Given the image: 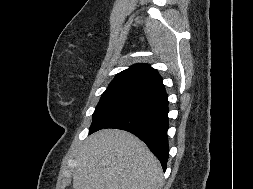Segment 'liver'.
I'll return each mask as SVG.
<instances>
[{
	"label": "liver",
	"mask_w": 253,
	"mask_h": 189,
	"mask_svg": "<svg viewBox=\"0 0 253 189\" xmlns=\"http://www.w3.org/2000/svg\"><path fill=\"white\" fill-rule=\"evenodd\" d=\"M73 189H161L162 168L133 134L106 129L89 136L78 157Z\"/></svg>",
	"instance_id": "1"
}]
</instances>
